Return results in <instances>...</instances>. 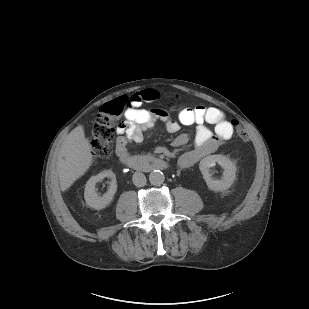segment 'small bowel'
I'll list each match as a JSON object with an SVG mask.
<instances>
[{
    "label": "small bowel",
    "instance_id": "obj_1",
    "mask_svg": "<svg viewBox=\"0 0 309 309\" xmlns=\"http://www.w3.org/2000/svg\"><path fill=\"white\" fill-rule=\"evenodd\" d=\"M157 98L158 93L151 89L135 93L128 98L125 122L118 129L119 137L115 152L119 158L126 157L127 145L142 141L144 130L152 129L157 121L163 122L166 131L171 134L180 130V124L196 125L194 146L179 158L180 168L190 167L203 157L215 152L234 134V125L225 119L222 111L215 107L203 105L183 107L178 112V121L171 119L163 109L146 110L142 107L145 102H152ZM207 125H212L213 129ZM188 140L187 134H179L173 143L175 146H183Z\"/></svg>",
    "mask_w": 309,
    "mask_h": 309
}]
</instances>
